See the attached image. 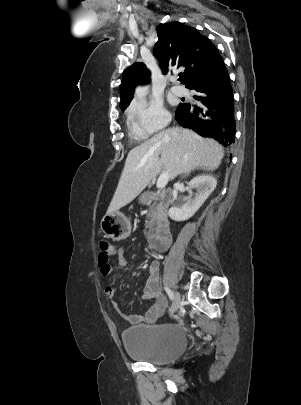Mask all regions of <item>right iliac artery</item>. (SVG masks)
I'll return each mask as SVG.
<instances>
[{
  "mask_svg": "<svg viewBox=\"0 0 301 405\" xmlns=\"http://www.w3.org/2000/svg\"><path fill=\"white\" fill-rule=\"evenodd\" d=\"M164 290H165L166 293L168 294L170 300H173V299H174V294H173V292H172L169 288H167V287H164Z\"/></svg>",
  "mask_w": 301,
  "mask_h": 405,
  "instance_id": "82829eb1",
  "label": "right iliac artery"
}]
</instances>
